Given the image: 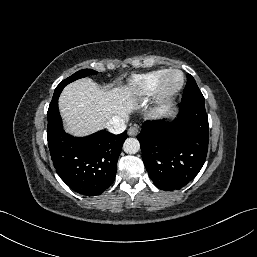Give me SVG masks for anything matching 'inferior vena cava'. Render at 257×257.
<instances>
[{"instance_id": "1", "label": "inferior vena cava", "mask_w": 257, "mask_h": 257, "mask_svg": "<svg viewBox=\"0 0 257 257\" xmlns=\"http://www.w3.org/2000/svg\"><path fill=\"white\" fill-rule=\"evenodd\" d=\"M106 129L113 134H120L126 129L125 120L119 116H113L105 125Z\"/></svg>"}]
</instances>
